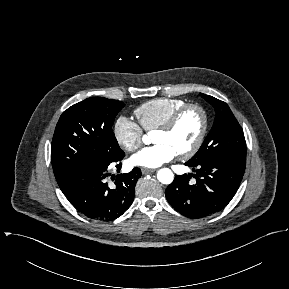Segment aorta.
Returning <instances> with one entry per match:
<instances>
[{"mask_svg": "<svg viewBox=\"0 0 289 289\" xmlns=\"http://www.w3.org/2000/svg\"><path fill=\"white\" fill-rule=\"evenodd\" d=\"M148 138L146 136L143 137V141L146 142ZM157 179L162 184L169 185L174 180V174L169 168H162L157 172Z\"/></svg>", "mask_w": 289, "mask_h": 289, "instance_id": "762f6f07", "label": "aorta"}]
</instances>
